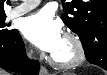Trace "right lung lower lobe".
Listing matches in <instances>:
<instances>
[{
	"instance_id": "1",
	"label": "right lung lower lobe",
	"mask_w": 107,
	"mask_h": 75,
	"mask_svg": "<svg viewBox=\"0 0 107 75\" xmlns=\"http://www.w3.org/2000/svg\"><path fill=\"white\" fill-rule=\"evenodd\" d=\"M0 68L26 75L39 74V62L28 60L23 40L17 30L10 38L0 40Z\"/></svg>"
}]
</instances>
